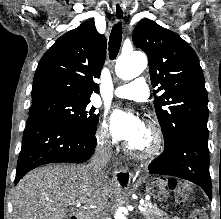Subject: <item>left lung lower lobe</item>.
<instances>
[{
  "label": "left lung lower lobe",
  "instance_id": "1",
  "mask_svg": "<svg viewBox=\"0 0 221 219\" xmlns=\"http://www.w3.org/2000/svg\"><path fill=\"white\" fill-rule=\"evenodd\" d=\"M150 174L170 175L199 185L212 199L209 173L208 135L185 131L149 167Z\"/></svg>",
  "mask_w": 221,
  "mask_h": 219
}]
</instances>
